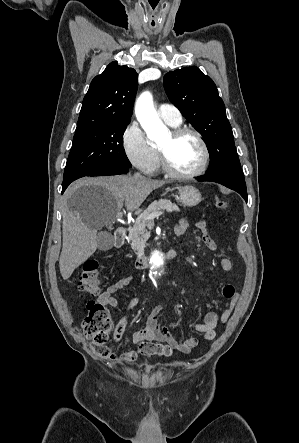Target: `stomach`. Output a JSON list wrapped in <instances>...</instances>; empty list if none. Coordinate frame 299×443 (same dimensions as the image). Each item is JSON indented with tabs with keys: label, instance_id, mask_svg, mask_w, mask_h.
<instances>
[{
	"label": "stomach",
	"instance_id": "0dacf381",
	"mask_svg": "<svg viewBox=\"0 0 299 443\" xmlns=\"http://www.w3.org/2000/svg\"><path fill=\"white\" fill-rule=\"evenodd\" d=\"M179 200L183 206L193 207L201 202L202 196L197 188L184 186L179 188Z\"/></svg>",
	"mask_w": 299,
	"mask_h": 443
}]
</instances>
